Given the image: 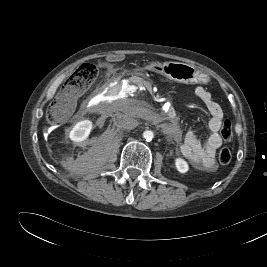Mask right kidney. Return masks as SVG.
Returning <instances> with one entry per match:
<instances>
[{
	"instance_id": "ca27d5eb",
	"label": "right kidney",
	"mask_w": 267,
	"mask_h": 267,
	"mask_svg": "<svg viewBox=\"0 0 267 267\" xmlns=\"http://www.w3.org/2000/svg\"><path fill=\"white\" fill-rule=\"evenodd\" d=\"M93 127L90 120L78 122L70 131L69 138L74 142H82L87 139Z\"/></svg>"
}]
</instances>
